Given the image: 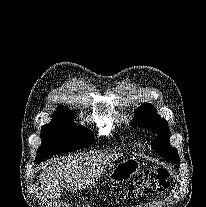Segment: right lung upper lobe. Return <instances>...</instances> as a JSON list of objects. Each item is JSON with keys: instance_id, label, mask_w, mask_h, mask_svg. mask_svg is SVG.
I'll list each match as a JSON object with an SVG mask.
<instances>
[{"instance_id": "right-lung-upper-lobe-1", "label": "right lung upper lobe", "mask_w": 206, "mask_h": 207, "mask_svg": "<svg viewBox=\"0 0 206 207\" xmlns=\"http://www.w3.org/2000/svg\"><path fill=\"white\" fill-rule=\"evenodd\" d=\"M59 110H63V111H68V109L67 108H65V107H60V108H58ZM70 112V111H69Z\"/></svg>"}]
</instances>
